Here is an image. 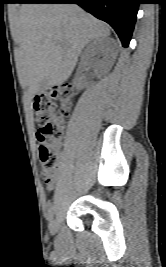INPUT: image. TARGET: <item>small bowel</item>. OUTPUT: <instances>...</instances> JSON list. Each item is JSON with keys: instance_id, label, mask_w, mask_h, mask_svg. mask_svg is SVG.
Listing matches in <instances>:
<instances>
[{"instance_id": "obj_1", "label": "small bowel", "mask_w": 166, "mask_h": 267, "mask_svg": "<svg viewBox=\"0 0 166 267\" xmlns=\"http://www.w3.org/2000/svg\"><path fill=\"white\" fill-rule=\"evenodd\" d=\"M55 177L53 179H51L50 181L46 182L47 186L49 189H52L55 185Z\"/></svg>"}]
</instances>
